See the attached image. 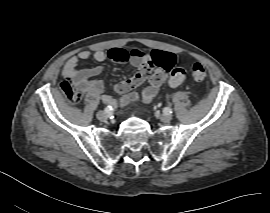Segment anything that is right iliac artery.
Masks as SVG:
<instances>
[{
  "label": "right iliac artery",
  "instance_id": "1",
  "mask_svg": "<svg viewBox=\"0 0 270 213\" xmlns=\"http://www.w3.org/2000/svg\"><path fill=\"white\" fill-rule=\"evenodd\" d=\"M104 110H105L106 113H110L113 110V108L108 105V106L105 107Z\"/></svg>",
  "mask_w": 270,
  "mask_h": 213
}]
</instances>
